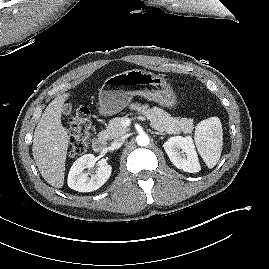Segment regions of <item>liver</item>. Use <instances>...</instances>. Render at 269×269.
Masks as SVG:
<instances>
[{
  "instance_id": "1",
  "label": "liver",
  "mask_w": 269,
  "mask_h": 269,
  "mask_svg": "<svg viewBox=\"0 0 269 269\" xmlns=\"http://www.w3.org/2000/svg\"><path fill=\"white\" fill-rule=\"evenodd\" d=\"M70 96L71 93H64L49 103L33 136L32 151L36 165L45 181L56 188H62L64 184L69 135L62 126L61 114Z\"/></svg>"
}]
</instances>
